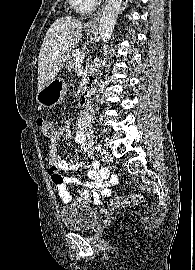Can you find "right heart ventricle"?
Returning a JSON list of instances; mask_svg holds the SVG:
<instances>
[{
  "label": "right heart ventricle",
  "mask_w": 195,
  "mask_h": 270,
  "mask_svg": "<svg viewBox=\"0 0 195 270\" xmlns=\"http://www.w3.org/2000/svg\"><path fill=\"white\" fill-rule=\"evenodd\" d=\"M71 7L79 13H87L94 7L93 0H69Z\"/></svg>",
  "instance_id": "e07e8e85"
}]
</instances>
